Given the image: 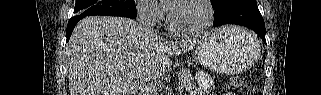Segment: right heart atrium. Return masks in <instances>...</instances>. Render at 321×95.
Masks as SVG:
<instances>
[{
    "label": "right heart atrium",
    "mask_w": 321,
    "mask_h": 95,
    "mask_svg": "<svg viewBox=\"0 0 321 95\" xmlns=\"http://www.w3.org/2000/svg\"><path fill=\"white\" fill-rule=\"evenodd\" d=\"M136 12L139 20L147 25H154L161 19V9L155 0L136 1Z\"/></svg>",
    "instance_id": "obj_1"
}]
</instances>
